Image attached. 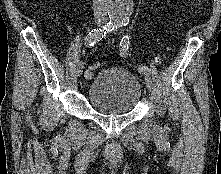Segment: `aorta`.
<instances>
[{
  "mask_svg": "<svg viewBox=\"0 0 221 174\" xmlns=\"http://www.w3.org/2000/svg\"><path fill=\"white\" fill-rule=\"evenodd\" d=\"M108 14L112 21H129L132 10L133 0H107Z\"/></svg>",
  "mask_w": 221,
  "mask_h": 174,
  "instance_id": "762f6f07",
  "label": "aorta"
}]
</instances>
